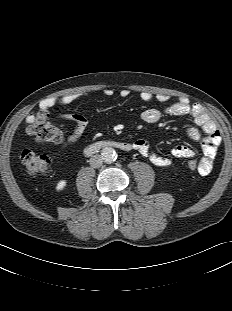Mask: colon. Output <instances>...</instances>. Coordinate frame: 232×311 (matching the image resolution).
<instances>
[{
    "label": "colon",
    "instance_id": "obj_1",
    "mask_svg": "<svg viewBox=\"0 0 232 311\" xmlns=\"http://www.w3.org/2000/svg\"><path fill=\"white\" fill-rule=\"evenodd\" d=\"M28 133L33 136L38 144L43 143H60L63 140L59 129L46 121V114L39 112L35 116V120L28 127ZM21 161L27 173L31 177H36L42 173L49 171L53 164L45 155H40L32 150L26 149L21 154ZM187 166L191 170L199 167L197 160L190 159Z\"/></svg>",
    "mask_w": 232,
    "mask_h": 311
}]
</instances>
